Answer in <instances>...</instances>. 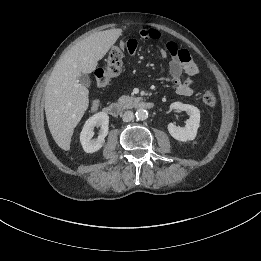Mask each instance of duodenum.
I'll use <instances>...</instances> for the list:
<instances>
[{"mask_svg": "<svg viewBox=\"0 0 261 261\" xmlns=\"http://www.w3.org/2000/svg\"><path fill=\"white\" fill-rule=\"evenodd\" d=\"M129 106H132L135 108L150 109L153 107V103L151 101L135 99V100L130 101L128 104L112 103V104L108 105L104 109V111H105V113H107L108 115H110L112 117H118Z\"/></svg>", "mask_w": 261, "mask_h": 261, "instance_id": "410a0bca", "label": "duodenum"}]
</instances>
